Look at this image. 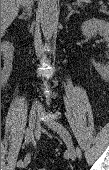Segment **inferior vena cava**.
<instances>
[{"label": "inferior vena cava", "instance_id": "1", "mask_svg": "<svg viewBox=\"0 0 109 170\" xmlns=\"http://www.w3.org/2000/svg\"><path fill=\"white\" fill-rule=\"evenodd\" d=\"M33 0H21V5L26 8L27 12H31ZM33 107L41 108L38 101H35Z\"/></svg>", "mask_w": 109, "mask_h": 170}]
</instances>
